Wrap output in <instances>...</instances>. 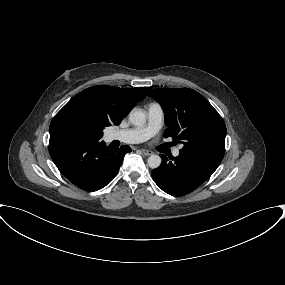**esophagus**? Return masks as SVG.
<instances>
[{
    "label": "esophagus",
    "mask_w": 285,
    "mask_h": 285,
    "mask_svg": "<svg viewBox=\"0 0 285 285\" xmlns=\"http://www.w3.org/2000/svg\"><path fill=\"white\" fill-rule=\"evenodd\" d=\"M141 152L145 155V156H150L153 154L152 151L150 150H146V149H141Z\"/></svg>",
    "instance_id": "1"
}]
</instances>
